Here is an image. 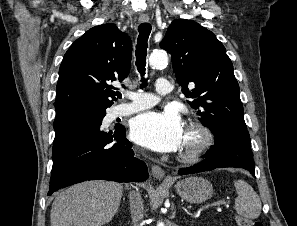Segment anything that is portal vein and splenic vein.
I'll return each instance as SVG.
<instances>
[{
  "label": "portal vein and splenic vein",
  "instance_id": "18ae733b",
  "mask_svg": "<svg viewBox=\"0 0 297 226\" xmlns=\"http://www.w3.org/2000/svg\"><path fill=\"white\" fill-rule=\"evenodd\" d=\"M223 203H225V201H217V202H213V203H208V204L204 205L201 208V210L209 209V208H214V207L220 206Z\"/></svg>",
  "mask_w": 297,
  "mask_h": 226
}]
</instances>
